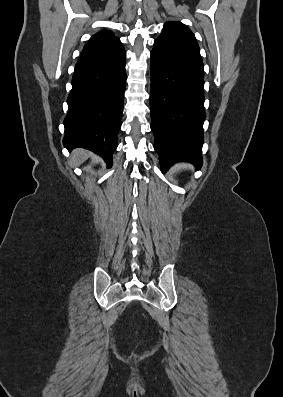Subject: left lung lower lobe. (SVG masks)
I'll return each instance as SVG.
<instances>
[{"instance_id": "obj_1", "label": "left lung lower lobe", "mask_w": 283, "mask_h": 397, "mask_svg": "<svg viewBox=\"0 0 283 397\" xmlns=\"http://www.w3.org/2000/svg\"><path fill=\"white\" fill-rule=\"evenodd\" d=\"M150 108L154 149L162 171L176 162L201 168L204 140V72L154 43Z\"/></svg>"}]
</instances>
